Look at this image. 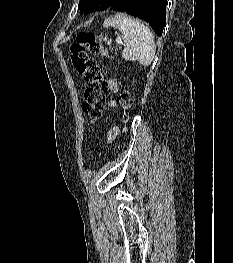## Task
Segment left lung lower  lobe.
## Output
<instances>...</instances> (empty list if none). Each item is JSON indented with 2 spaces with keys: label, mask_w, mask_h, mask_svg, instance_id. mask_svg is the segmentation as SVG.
<instances>
[{
  "label": "left lung lower lobe",
  "mask_w": 233,
  "mask_h": 263,
  "mask_svg": "<svg viewBox=\"0 0 233 263\" xmlns=\"http://www.w3.org/2000/svg\"><path fill=\"white\" fill-rule=\"evenodd\" d=\"M167 0H115L109 9L145 20L161 36L166 24Z\"/></svg>",
  "instance_id": "obj_1"
}]
</instances>
